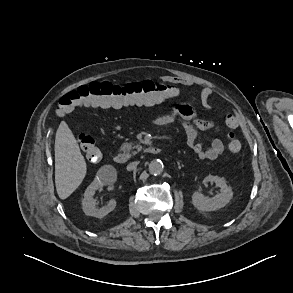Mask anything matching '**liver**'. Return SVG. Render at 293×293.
I'll return each instance as SVG.
<instances>
[{"label": "liver", "mask_w": 293, "mask_h": 293, "mask_svg": "<svg viewBox=\"0 0 293 293\" xmlns=\"http://www.w3.org/2000/svg\"><path fill=\"white\" fill-rule=\"evenodd\" d=\"M86 162L79 145L66 124L62 121L55 138V185L61 199L69 197L86 175Z\"/></svg>", "instance_id": "liver-1"}]
</instances>
